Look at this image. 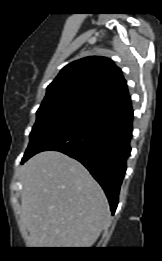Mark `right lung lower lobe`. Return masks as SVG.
Segmentation results:
<instances>
[{"label":"right lung lower lobe","instance_id":"right-lung-lower-lobe-1","mask_svg":"<svg viewBox=\"0 0 162 261\" xmlns=\"http://www.w3.org/2000/svg\"><path fill=\"white\" fill-rule=\"evenodd\" d=\"M132 121L130 96L102 104L51 133L33 152L24 155L22 163L47 150L80 161L104 189L114 214L131 152Z\"/></svg>","mask_w":162,"mask_h":261}]
</instances>
